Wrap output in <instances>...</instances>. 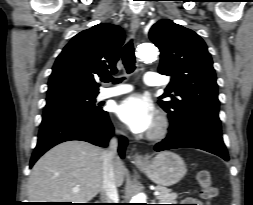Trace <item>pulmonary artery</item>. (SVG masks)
I'll return each mask as SVG.
<instances>
[{"label": "pulmonary artery", "mask_w": 253, "mask_h": 205, "mask_svg": "<svg viewBox=\"0 0 253 205\" xmlns=\"http://www.w3.org/2000/svg\"><path fill=\"white\" fill-rule=\"evenodd\" d=\"M144 83L148 86H160L163 84L162 80L155 72H146L144 76ZM133 87L128 84H118L114 87L103 88L99 95V100H104L110 97H115L132 91Z\"/></svg>", "instance_id": "pulmonary-artery-1"}]
</instances>
